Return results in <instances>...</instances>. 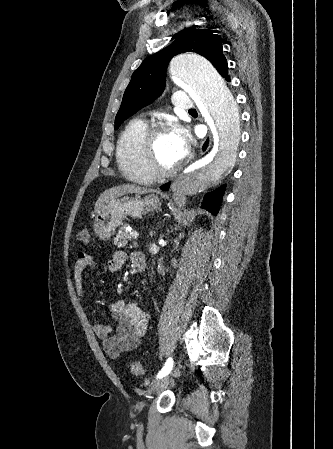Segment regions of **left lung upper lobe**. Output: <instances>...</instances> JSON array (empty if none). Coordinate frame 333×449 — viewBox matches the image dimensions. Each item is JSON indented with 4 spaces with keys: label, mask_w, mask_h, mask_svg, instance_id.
<instances>
[{
    "label": "left lung upper lobe",
    "mask_w": 333,
    "mask_h": 449,
    "mask_svg": "<svg viewBox=\"0 0 333 449\" xmlns=\"http://www.w3.org/2000/svg\"><path fill=\"white\" fill-rule=\"evenodd\" d=\"M185 52L204 56L221 75L228 73L227 60L218 35L209 29L188 28L179 33L171 45L147 57L133 73L115 118V128L163 92L170 60Z\"/></svg>",
    "instance_id": "5c2ea615"
}]
</instances>
